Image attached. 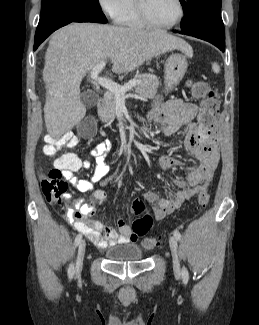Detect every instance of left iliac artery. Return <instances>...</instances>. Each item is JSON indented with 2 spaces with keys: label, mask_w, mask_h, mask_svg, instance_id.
Instances as JSON below:
<instances>
[{
  "label": "left iliac artery",
  "mask_w": 259,
  "mask_h": 325,
  "mask_svg": "<svg viewBox=\"0 0 259 325\" xmlns=\"http://www.w3.org/2000/svg\"><path fill=\"white\" fill-rule=\"evenodd\" d=\"M173 234L178 241L181 240V234L178 230H174ZM182 277L184 280H188L189 278L188 270L185 267L182 269Z\"/></svg>",
  "instance_id": "left-iliac-artery-1"
}]
</instances>
